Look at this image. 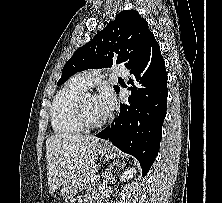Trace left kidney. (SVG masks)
<instances>
[{"mask_svg": "<svg viewBox=\"0 0 222 203\" xmlns=\"http://www.w3.org/2000/svg\"><path fill=\"white\" fill-rule=\"evenodd\" d=\"M135 168H128L125 170V172L121 175L120 180L124 181L125 179H130L136 174Z\"/></svg>", "mask_w": 222, "mask_h": 203, "instance_id": "left-kidney-1", "label": "left kidney"}]
</instances>
